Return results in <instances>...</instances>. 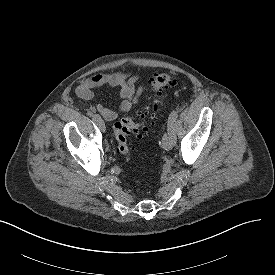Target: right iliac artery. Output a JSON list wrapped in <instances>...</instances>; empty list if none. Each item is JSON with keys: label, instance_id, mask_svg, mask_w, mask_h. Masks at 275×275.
I'll list each match as a JSON object with an SVG mask.
<instances>
[{"label": "right iliac artery", "instance_id": "right-iliac-artery-1", "mask_svg": "<svg viewBox=\"0 0 275 275\" xmlns=\"http://www.w3.org/2000/svg\"><path fill=\"white\" fill-rule=\"evenodd\" d=\"M92 119L94 122H97L101 119V117L98 114H95V115H93Z\"/></svg>", "mask_w": 275, "mask_h": 275}]
</instances>
